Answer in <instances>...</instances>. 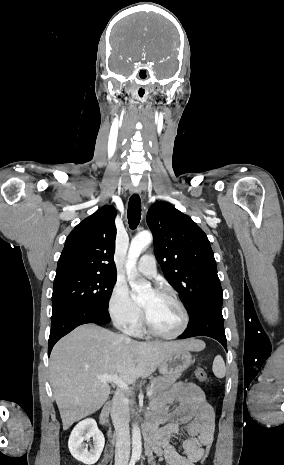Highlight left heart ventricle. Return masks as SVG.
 <instances>
[{"mask_svg": "<svg viewBox=\"0 0 284 465\" xmlns=\"http://www.w3.org/2000/svg\"><path fill=\"white\" fill-rule=\"evenodd\" d=\"M141 305L142 311L149 319L148 324L155 332L169 335L180 329L182 324L181 312L166 297L153 292Z\"/></svg>", "mask_w": 284, "mask_h": 465, "instance_id": "1", "label": "left heart ventricle"}]
</instances>
